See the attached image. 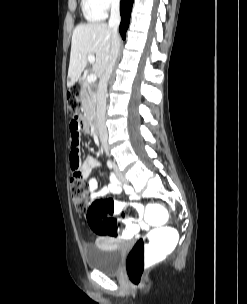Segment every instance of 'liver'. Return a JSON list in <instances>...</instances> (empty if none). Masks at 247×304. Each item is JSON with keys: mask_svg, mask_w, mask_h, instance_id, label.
<instances>
[{"mask_svg": "<svg viewBox=\"0 0 247 304\" xmlns=\"http://www.w3.org/2000/svg\"><path fill=\"white\" fill-rule=\"evenodd\" d=\"M112 29L103 22L78 25L72 35L70 63L67 87H71L80 78L88 62V55L96 60L93 71L101 77L109 62L112 43Z\"/></svg>", "mask_w": 247, "mask_h": 304, "instance_id": "1", "label": "liver"}]
</instances>
